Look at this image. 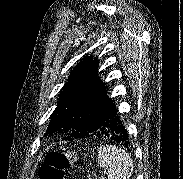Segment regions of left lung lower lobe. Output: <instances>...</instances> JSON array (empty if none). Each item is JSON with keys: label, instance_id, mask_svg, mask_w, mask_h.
Instances as JSON below:
<instances>
[{"label": "left lung lower lobe", "instance_id": "left-lung-lower-lobe-1", "mask_svg": "<svg viewBox=\"0 0 183 179\" xmlns=\"http://www.w3.org/2000/svg\"><path fill=\"white\" fill-rule=\"evenodd\" d=\"M96 136L107 140L121 143L126 148H129L130 142L128 133L125 128L123 118L114 108L113 112L109 115L108 120L96 131L86 137Z\"/></svg>", "mask_w": 183, "mask_h": 179}]
</instances>
